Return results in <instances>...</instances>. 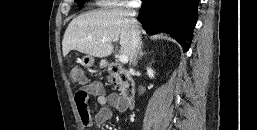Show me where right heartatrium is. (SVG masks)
Returning a JSON list of instances; mask_svg holds the SVG:
<instances>
[{
	"mask_svg": "<svg viewBox=\"0 0 257 130\" xmlns=\"http://www.w3.org/2000/svg\"><path fill=\"white\" fill-rule=\"evenodd\" d=\"M99 3L103 6H117L129 4V2H126L124 0H100Z\"/></svg>",
	"mask_w": 257,
	"mask_h": 130,
	"instance_id": "right-heart-atrium-1",
	"label": "right heart atrium"
}]
</instances>
